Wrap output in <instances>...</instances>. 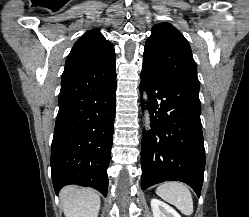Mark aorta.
I'll return each instance as SVG.
<instances>
[{
	"label": "aorta",
	"mask_w": 249,
	"mask_h": 217,
	"mask_svg": "<svg viewBox=\"0 0 249 217\" xmlns=\"http://www.w3.org/2000/svg\"><path fill=\"white\" fill-rule=\"evenodd\" d=\"M147 94L146 92L143 93V99L145 102H147ZM145 128L148 131L150 129V121H149V117H148V113H146V119H145Z\"/></svg>",
	"instance_id": "aorta-1"
}]
</instances>
